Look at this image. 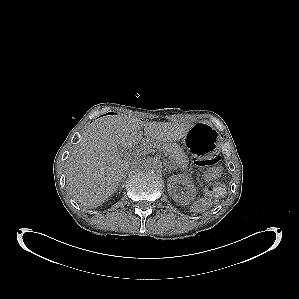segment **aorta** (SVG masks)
<instances>
[{
  "instance_id": "762f6f07",
  "label": "aorta",
  "mask_w": 299,
  "mask_h": 299,
  "mask_svg": "<svg viewBox=\"0 0 299 299\" xmlns=\"http://www.w3.org/2000/svg\"><path fill=\"white\" fill-rule=\"evenodd\" d=\"M162 162L157 158H149L144 163V168L148 172L156 173L162 169Z\"/></svg>"
}]
</instances>
